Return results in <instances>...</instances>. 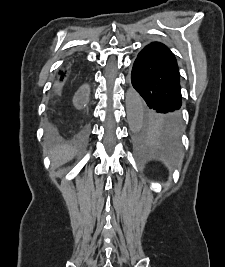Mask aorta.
I'll return each mask as SVG.
<instances>
[{"label":"aorta","mask_w":225,"mask_h":267,"mask_svg":"<svg viewBox=\"0 0 225 267\" xmlns=\"http://www.w3.org/2000/svg\"><path fill=\"white\" fill-rule=\"evenodd\" d=\"M125 103L129 126L131 130L136 131L141 126L143 100L136 91L129 89L126 93Z\"/></svg>","instance_id":"obj_1"}]
</instances>
